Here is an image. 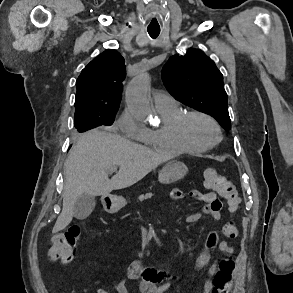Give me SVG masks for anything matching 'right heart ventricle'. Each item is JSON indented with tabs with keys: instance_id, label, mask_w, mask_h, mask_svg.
Returning a JSON list of instances; mask_svg holds the SVG:
<instances>
[{
	"instance_id": "obj_1",
	"label": "right heart ventricle",
	"mask_w": 293,
	"mask_h": 293,
	"mask_svg": "<svg viewBox=\"0 0 293 293\" xmlns=\"http://www.w3.org/2000/svg\"><path fill=\"white\" fill-rule=\"evenodd\" d=\"M161 125L155 129H147L142 140L147 146L171 153L198 152L186 145L178 136L176 126L184 110L177 104L157 108Z\"/></svg>"
}]
</instances>
